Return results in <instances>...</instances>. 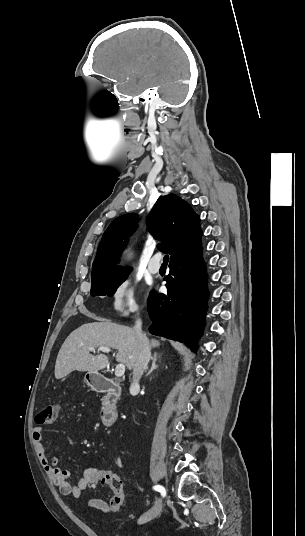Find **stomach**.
<instances>
[{"label":"stomach","mask_w":305,"mask_h":536,"mask_svg":"<svg viewBox=\"0 0 305 536\" xmlns=\"http://www.w3.org/2000/svg\"><path fill=\"white\" fill-rule=\"evenodd\" d=\"M101 378L99 374H86L84 378V382L88 384V386H91V388H97Z\"/></svg>","instance_id":"stomach-1"}]
</instances>
